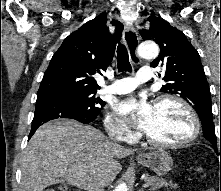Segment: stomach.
Instances as JSON below:
<instances>
[{
	"label": "stomach",
	"instance_id": "1",
	"mask_svg": "<svg viewBox=\"0 0 221 191\" xmlns=\"http://www.w3.org/2000/svg\"><path fill=\"white\" fill-rule=\"evenodd\" d=\"M137 162L155 172L157 175H164L173 166L171 155L163 150L157 149L137 157Z\"/></svg>",
	"mask_w": 221,
	"mask_h": 191
}]
</instances>
